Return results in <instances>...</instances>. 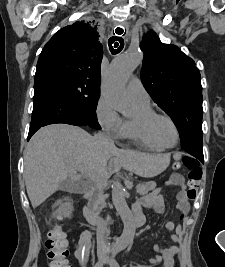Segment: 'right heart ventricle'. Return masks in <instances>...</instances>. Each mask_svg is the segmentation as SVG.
I'll use <instances>...</instances> for the list:
<instances>
[{"label": "right heart ventricle", "instance_id": "1", "mask_svg": "<svg viewBox=\"0 0 225 267\" xmlns=\"http://www.w3.org/2000/svg\"><path fill=\"white\" fill-rule=\"evenodd\" d=\"M132 103L134 112L123 120L121 134L144 147L153 150H163L154 142L147 129V120L153 113H155L150 100H132Z\"/></svg>", "mask_w": 225, "mask_h": 267}]
</instances>
